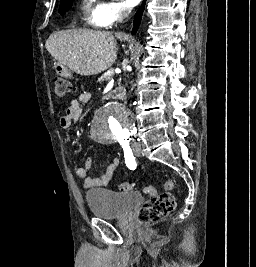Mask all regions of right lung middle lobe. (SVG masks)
<instances>
[{
    "instance_id": "1",
    "label": "right lung middle lobe",
    "mask_w": 256,
    "mask_h": 267,
    "mask_svg": "<svg viewBox=\"0 0 256 267\" xmlns=\"http://www.w3.org/2000/svg\"><path fill=\"white\" fill-rule=\"evenodd\" d=\"M72 0H64L61 1L60 8H59V13L63 15L66 11H68L72 5Z\"/></svg>"
}]
</instances>
